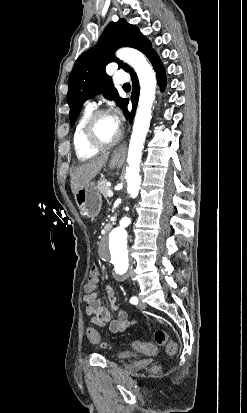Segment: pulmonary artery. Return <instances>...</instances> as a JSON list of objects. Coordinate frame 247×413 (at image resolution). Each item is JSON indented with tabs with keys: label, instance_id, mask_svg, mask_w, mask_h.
I'll use <instances>...</instances> for the list:
<instances>
[{
	"label": "pulmonary artery",
	"instance_id": "pulmonary-artery-1",
	"mask_svg": "<svg viewBox=\"0 0 247 413\" xmlns=\"http://www.w3.org/2000/svg\"><path fill=\"white\" fill-rule=\"evenodd\" d=\"M117 73L118 74H116L112 79L113 82L117 83V85L120 86V87L123 86V85H129L128 76L126 75L127 71L124 68H121V69L118 70ZM88 103L91 106L95 105L94 100H88Z\"/></svg>",
	"mask_w": 247,
	"mask_h": 413
}]
</instances>
